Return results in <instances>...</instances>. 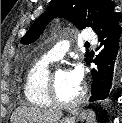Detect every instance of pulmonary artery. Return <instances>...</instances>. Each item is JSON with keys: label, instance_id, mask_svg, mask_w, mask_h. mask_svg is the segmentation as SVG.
Instances as JSON below:
<instances>
[{"label": "pulmonary artery", "instance_id": "obj_1", "mask_svg": "<svg viewBox=\"0 0 122 123\" xmlns=\"http://www.w3.org/2000/svg\"><path fill=\"white\" fill-rule=\"evenodd\" d=\"M96 39H97V37L93 32L88 31V30L84 31V33H83V40L84 41L94 43V42H96ZM69 46H70L69 41H67V40L60 41L59 43L54 45L47 52V54L45 56L48 57L49 59L53 60V61L59 60L68 51Z\"/></svg>", "mask_w": 122, "mask_h": 123}]
</instances>
